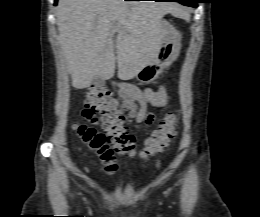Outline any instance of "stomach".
I'll list each match as a JSON object with an SVG mask.
<instances>
[{"label": "stomach", "instance_id": "stomach-1", "mask_svg": "<svg viewBox=\"0 0 260 217\" xmlns=\"http://www.w3.org/2000/svg\"><path fill=\"white\" fill-rule=\"evenodd\" d=\"M161 43L156 60L144 65L136 74L138 81L150 83L177 58L180 45L176 31L166 22H161Z\"/></svg>", "mask_w": 260, "mask_h": 217}]
</instances>
